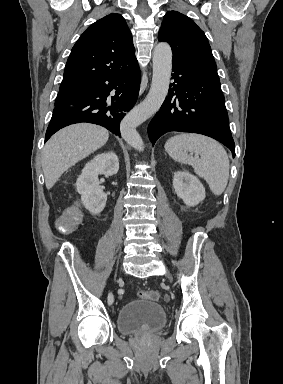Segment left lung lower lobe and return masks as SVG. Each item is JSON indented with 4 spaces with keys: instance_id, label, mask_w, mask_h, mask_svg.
Segmentation results:
<instances>
[{
    "instance_id": "0a47b994",
    "label": "left lung lower lobe",
    "mask_w": 283,
    "mask_h": 384,
    "mask_svg": "<svg viewBox=\"0 0 283 384\" xmlns=\"http://www.w3.org/2000/svg\"><path fill=\"white\" fill-rule=\"evenodd\" d=\"M172 63L174 82L148 127L152 144L171 131L199 133L223 143L235 156L218 75Z\"/></svg>"
}]
</instances>
